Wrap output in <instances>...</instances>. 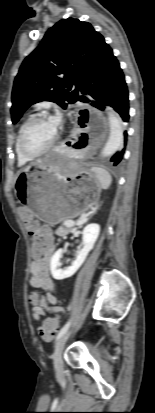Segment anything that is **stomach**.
I'll return each mask as SVG.
<instances>
[{
  "label": "stomach",
  "mask_w": 155,
  "mask_h": 413,
  "mask_svg": "<svg viewBox=\"0 0 155 413\" xmlns=\"http://www.w3.org/2000/svg\"><path fill=\"white\" fill-rule=\"evenodd\" d=\"M101 189L91 169L63 168L52 157L22 168L15 183L20 204L51 225L92 209L100 199Z\"/></svg>",
  "instance_id": "1"
}]
</instances>
